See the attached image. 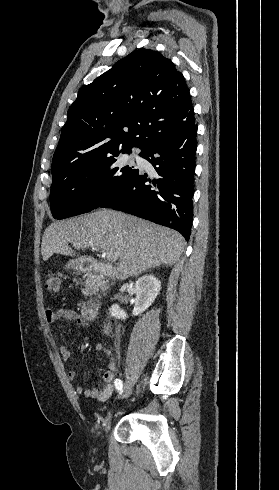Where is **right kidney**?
I'll return each instance as SVG.
<instances>
[{"label":"right kidney","mask_w":279,"mask_h":490,"mask_svg":"<svg viewBox=\"0 0 279 490\" xmlns=\"http://www.w3.org/2000/svg\"><path fill=\"white\" fill-rule=\"evenodd\" d=\"M136 298L135 306L133 308L132 316H139L142 312H145L151 304H153L155 298H157L161 290V282L153 276V274H146L137 280L134 286ZM109 314L116 318V320H126L128 318L126 312L121 310L118 304H113L109 308Z\"/></svg>","instance_id":"right-kidney-1"}]
</instances>
